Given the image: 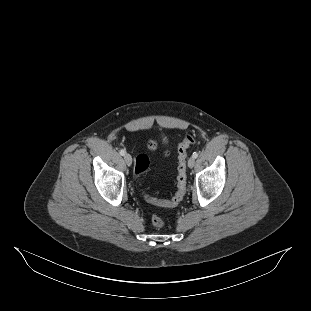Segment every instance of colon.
<instances>
[{"label": "colon", "instance_id": "1", "mask_svg": "<svg viewBox=\"0 0 311 311\" xmlns=\"http://www.w3.org/2000/svg\"><path fill=\"white\" fill-rule=\"evenodd\" d=\"M196 142L194 135L188 134L178 147V176H177V190L175 195L171 199H158L150 196L149 194L142 192V196L146 201L153 205L160 207H174L177 206L183 199L186 192V158L187 149ZM149 166V159L145 154H140L136 157L135 173L137 176L143 175ZM152 224L157 228L164 226L163 219L158 215H153L151 218Z\"/></svg>", "mask_w": 311, "mask_h": 311}]
</instances>
